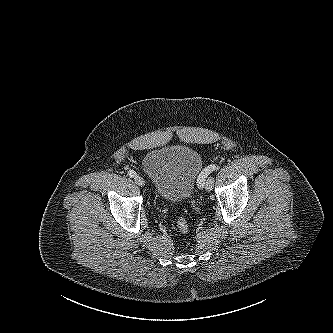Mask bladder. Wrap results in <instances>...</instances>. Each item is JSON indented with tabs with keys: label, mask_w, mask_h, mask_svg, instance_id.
Returning <instances> with one entry per match:
<instances>
[{
	"label": "bladder",
	"mask_w": 333,
	"mask_h": 333,
	"mask_svg": "<svg viewBox=\"0 0 333 333\" xmlns=\"http://www.w3.org/2000/svg\"><path fill=\"white\" fill-rule=\"evenodd\" d=\"M202 166L199 153L187 146L153 149L142 160L143 170L157 195L168 202L191 198Z\"/></svg>",
	"instance_id": "bladder-1"
}]
</instances>
